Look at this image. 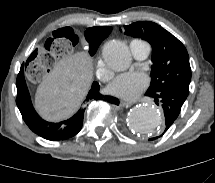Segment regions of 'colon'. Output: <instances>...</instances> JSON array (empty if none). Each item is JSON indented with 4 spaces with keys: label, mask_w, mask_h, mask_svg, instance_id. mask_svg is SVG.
<instances>
[{
    "label": "colon",
    "mask_w": 215,
    "mask_h": 183,
    "mask_svg": "<svg viewBox=\"0 0 215 183\" xmlns=\"http://www.w3.org/2000/svg\"><path fill=\"white\" fill-rule=\"evenodd\" d=\"M82 33L75 26H63L34 45L24 62V73L31 80H42L56 61L82 44Z\"/></svg>",
    "instance_id": "1"
}]
</instances>
